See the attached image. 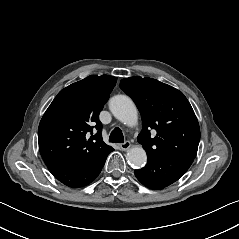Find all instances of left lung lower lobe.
Here are the masks:
<instances>
[{"label":"left lung lower lobe","mask_w":239,"mask_h":239,"mask_svg":"<svg viewBox=\"0 0 239 239\" xmlns=\"http://www.w3.org/2000/svg\"><path fill=\"white\" fill-rule=\"evenodd\" d=\"M194 159L184 157H147L146 167L135 170L137 179L151 189H162L180 179Z\"/></svg>","instance_id":"0a47b994"}]
</instances>
